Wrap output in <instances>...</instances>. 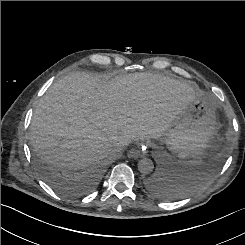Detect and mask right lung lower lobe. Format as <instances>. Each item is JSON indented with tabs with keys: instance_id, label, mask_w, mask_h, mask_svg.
Returning <instances> with one entry per match:
<instances>
[{
	"instance_id": "1",
	"label": "right lung lower lobe",
	"mask_w": 245,
	"mask_h": 245,
	"mask_svg": "<svg viewBox=\"0 0 245 245\" xmlns=\"http://www.w3.org/2000/svg\"><path fill=\"white\" fill-rule=\"evenodd\" d=\"M48 181H49L50 185L57 192H59L60 194H62L64 196L74 197V196H76L77 194L80 193L78 189H75L74 187H72L70 182L63 175L60 176V177L50 176L48 178Z\"/></svg>"
}]
</instances>
